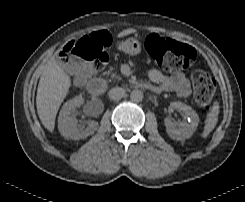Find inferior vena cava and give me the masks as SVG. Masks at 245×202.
<instances>
[{
	"mask_svg": "<svg viewBox=\"0 0 245 202\" xmlns=\"http://www.w3.org/2000/svg\"><path fill=\"white\" fill-rule=\"evenodd\" d=\"M125 96V90L120 87H114L109 91V97L112 100H120Z\"/></svg>",
	"mask_w": 245,
	"mask_h": 202,
	"instance_id": "obj_1",
	"label": "inferior vena cava"
}]
</instances>
